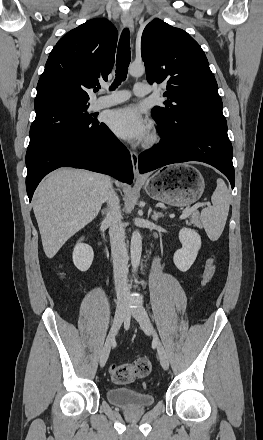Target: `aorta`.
<instances>
[{"instance_id":"762f6f07","label":"aorta","mask_w":263,"mask_h":440,"mask_svg":"<svg viewBox=\"0 0 263 440\" xmlns=\"http://www.w3.org/2000/svg\"><path fill=\"white\" fill-rule=\"evenodd\" d=\"M128 72L131 76L140 77L145 73V67L142 63H132L128 68ZM142 252V237L138 230L132 233L131 245H130V255L131 264L134 271H137L140 264Z\"/></svg>"}]
</instances>
